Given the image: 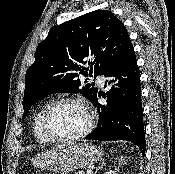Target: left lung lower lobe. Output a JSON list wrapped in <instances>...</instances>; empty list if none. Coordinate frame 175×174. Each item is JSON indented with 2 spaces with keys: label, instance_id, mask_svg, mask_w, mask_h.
<instances>
[{
  "label": "left lung lower lobe",
  "instance_id": "obj_1",
  "mask_svg": "<svg viewBox=\"0 0 175 174\" xmlns=\"http://www.w3.org/2000/svg\"><path fill=\"white\" fill-rule=\"evenodd\" d=\"M109 78L106 85L114 86L103 95L107 104L100 105L98 96L91 101L98 107L99 122L97 127L85 139L110 141L126 140L139 147L143 156L146 141L141 101L140 72L136 56L130 43L114 65L104 73Z\"/></svg>",
  "mask_w": 175,
  "mask_h": 174
}]
</instances>
